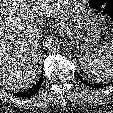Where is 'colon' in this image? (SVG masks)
<instances>
[{
    "mask_svg": "<svg viewBox=\"0 0 113 113\" xmlns=\"http://www.w3.org/2000/svg\"><path fill=\"white\" fill-rule=\"evenodd\" d=\"M90 3L103 15L113 18V0H90Z\"/></svg>",
    "mask_w": 113,
    "mask_h": 113,
    "instance_id": "obj_1",
    "label": "colon"
}]
</instances>
